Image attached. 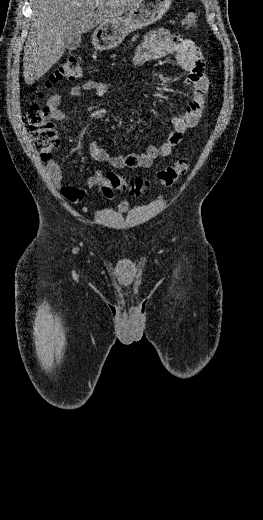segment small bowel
Instances as JSON below:
<instances>
[{
	"instance_id": "c3829d8e",
	"label": "small bowel",
	"mask_w": 263,
	"mask_h": 520,
	"mask_svg": "<svg viewBox=\"0 0 263 520\" xmlns=\"http://www.w3.org/2000/svg\"><path fill=\"white\" fill-rule=\"evenodd\" d=\"M168 56L174 58L175 65L178 68L187 72L186 84L192 88V96L184 113L172 119V131L166 141L159 146L149 145L142 153L126 156H111L96 141H91L88 144V151L94 160L109 164L116 169L149 168L155 159L170 155L172 149L182 141L184 133L198 124L206 104L210 83L205 74L203 56L193 41L166 29L153 30L136 47L132 56V64L137 66ZM110 90L111 85L108 83L87 80L80 85L70 87L67 94L80 97L85 92H91L101 96ZM61 102V94H54L48 98L47 106L51 119L56 121L69 119V116L60 108ZM46 167L55 186L65 199L72 203H79L85 198V188L66 184L62 169L55 160H49ZM103 178L104 174L101 171L94 172L86 180V187H95Z\"/></svg>"
}]
</instances>
